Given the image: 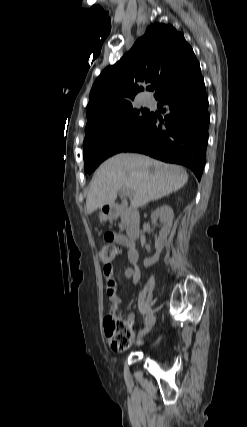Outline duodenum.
<instances>
[{
  "mask_svg": "<svg viewBox=\"0 0 247 427\" xmlns=\"http://www.w3.org/2000/svg\"><path fill=\"white\" fill-rule=\"evenodd\" d=\"M106 213L111 218L118 216L123 218L126 227L125 238L129 243L133 244L140 235V215L138 211L128 207H121L117 203H110L106 206Z\"/></svg>",
  "mask_w": 247,
  "mask_h": 427,
  "instance_id": "duodenum-1",
  "label": "duodenum"
}]
</instances>
